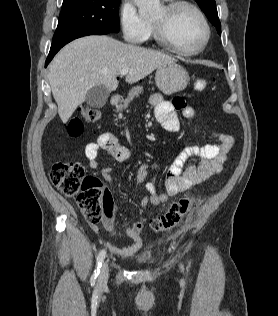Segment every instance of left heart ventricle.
I'll use <instances>...</instances> for the list:
<instances>
[{
	"instance_id": "obj_1",
	"label": "left heart ventricle",
	"mask_w": 278,
	"mask_h": 316,
	"mask_svg": "<svg viewBox=\"0 0 278 316\" xmlns=\"http://www.w3.org/2000/svg\"><path fill=\"white\" fill-rule=\"evenodd\" d=\"M166 19V13L162 7L153 17V21ZM168 29L174 41L186 50L198 48L204 38L205 29L197 14L189 7L177 9L167 20Z\"/></svg>"
}]
</instances>
